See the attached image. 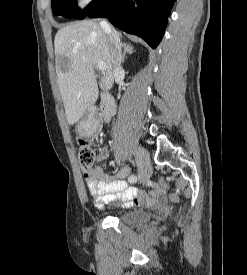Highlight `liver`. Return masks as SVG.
I'll use <instances>...</instances> for the list:
<instances>
[{"label":"liver","mask_w":247,"mask_h":275,"mask_svg":"<svg viewBox=\"0 0 247 275\" xmlns=\"http://www.w3.org/2000/svg\"><path fill=\"white\" fill-rule=\"evenodd\" d=\"M116 33L121 36V33ZM54 47L57 80L65 115L68 124L73 125L95 103L99 93L98 85L104 91L113 86L110 41L100 24L84 20L59 29ZM99 62H104L107 69L98 83L94 69Z\"/></svg>","instance_id":"6515ba94"}]
</instances>
